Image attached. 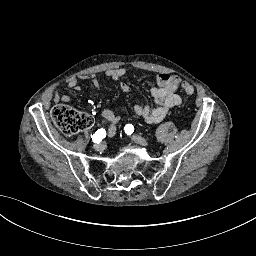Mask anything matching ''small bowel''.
Segmentation results:
<instances>
[{
	"instance_id": "small-bowel-1",
	"label": "small bowel",
	"mask_w": 256,
	"mask_h": 256,
	"mask_svg": "<svg viewBox=\"0 0 256 256\" xmlns=\"http://www.w3.org/2000/svg\"><path fill=\"white\" fill-rule=\"evenodd\" d=\"M105 74L107 77L117 81L125 76L126 70L124 68H115L106 71ZM80 79H90L94 87L99 88L100 86L96 75L91 74L70 79L67 83L68 88L75 91H80ZM179 82L180 79L176 75L160 73L157 76V86L151 89L154 105L149 106L147 104H136L133 108V116L135 118H141L149 124H156L161 122L165 118L169 109L179 106L182 102L180 95L176 93ZM120 89L123 92H128L130 91L131 87L126 83H121ZM70 100L71 96L67 94L60 95L56 93L53 97V102L56 104L67 103ZM100 117L102 120L108 123L106 135L108 137L115 135L117 124L120 121L119 116L115 115L110 109H104L100 113Z\"/></svg>"
}]
</instances>
